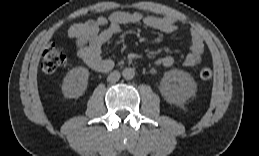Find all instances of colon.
I'll return each instance as SVG.
<instances>
[{"label": "colon", "instance_id": "colon-1", "mask_svg": "<svg viewBox=\"0 0 259 156\" xmlns=\"http://www.w3.org/2000/svg\"><path fill=\"white\" fill-rule=\"evenodd\" d=\"M67 64L66 52L54 43L49 44L43 51L41 68L47 74H54L63 68ZM213 72L210 68H202L199 72V76L202 80L211 79Z\"/></svg>", "mask_w": 259, "mask_h": 156}]
</instances>
